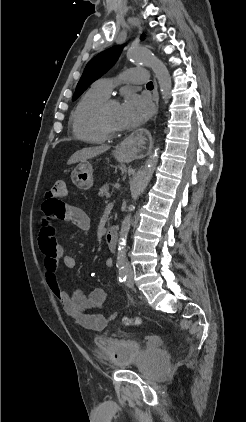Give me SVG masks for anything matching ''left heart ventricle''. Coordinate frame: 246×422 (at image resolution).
<instances>
[{"label": "left heart ventricle", "mask_w": 246, "mask_h": 422, "mask_svg": "<svg viewBox=\"0 0 246 422\" xmlns=\"http://www.w3.org/2000/svg\"><path fill=\"white\" fill-rule=\"evenodd\" d=\"M106 118L110 126L116 129H122L120 124V105H111L106 112Z\"/></svg>", "instance_id": "b2bd125f"}]
</instances>
